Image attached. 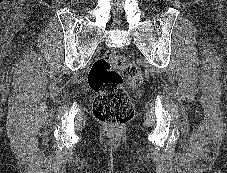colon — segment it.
Segmentation results:
<instances>
[{
    "instance_id": "5ec220e1",
    "label": "colon",
    "mask_w": 227,
    "mask_h": 173,
    "mask_svg": "<svg viewBox=\"0 0 227 173\" xmlns=\"http://www.w3.org/2000/svg\"><path fill=\"white\" fill-rule=\"evenodd\" d=\"M141 82L140 68L122 55L110 51L95 61L88 74L89 86L96 93L95 118L113 127L128 123L134 116V108L125 83L137 88Z\"/></svg>"
}]
</instances>
